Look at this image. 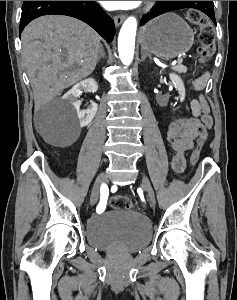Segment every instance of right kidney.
<instances>
[{"mask_svg": "<svg viewBox=\"0 0 237 300\" xmlns=\"http://www.w3.org/2000/svg\"><path fill=\"white\" fill-rule=\"evenodd\" d=\"M83 89H87V91H91V93H96V91H98V85L94 79H85V81H80V83L74 85L68 93H65L64 97L67 101L72 103L79 119L80 127H87V125L93 121L98 111V105L94 103V101H90L91 105H87V109H81V101H78V97L81 95Z\"/></svg>", "mask_w": 237, "mask_h": 300, "instance_id": "right-kidney-1", "label": "right kidney"}]
</instances>
